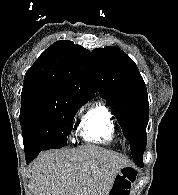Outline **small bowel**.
Returning a JSON list of instances; mask_svg holds the SVG:
<instances>
[{"instance_id":"obj_1","label":"small bowel","mask_w":178,"mask_h":195,"mask_svg":"<svg viewBox=\"0 0 178 195\" xmlns=\"http://www.w3.org/2000/svg\"><path fill=\"white\" fill-rule=\"evenodd\" d=\"M128 194H129V188L126 186L121 191H119L117 195H128Z\"/></svg>"}]
</instances>
